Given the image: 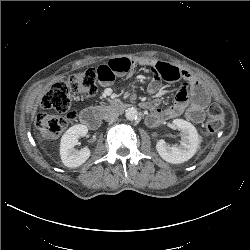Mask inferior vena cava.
<instances>
[{
    "instance_id": "inferior-vena-cava-1",
    "label": "inferior vena cava",
    "mask_w": 250,
    "mask_h": 250,
    "mask_svg": "<svg viewBox=\"0 0 250 250\" xmlns=\"http://www.w3.org/2000/svg\"><path fill=\"white\" fill-rule=\"evenodd\" d=\"M118 116H119V113L116 110H108L104 114L103 118L107 122H112V121L116 120L118 118Z\"/></svg>"
}]
</instances>
